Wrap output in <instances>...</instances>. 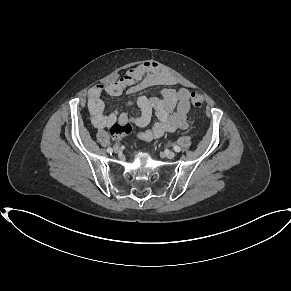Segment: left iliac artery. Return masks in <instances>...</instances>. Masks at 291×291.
I'll return each instance as SVG.
<instances>
[{
	"label": "left iliac artery",
	"mask_w": 291,
	"mask_h": 291,
	"mask_svg": "<svg viewBox=\"0 0 291 291\" xmlns=\"http://www.w3.org/2000/svg\"><path fill=\"white\" fill-rule=\"evenodd\" d=\"M173 149H174L175 152H180V151H181L180 147L177 146V145H175V146L173 147Z\"/></svg>",
	"instance_id": "1"
}]
</instances>
